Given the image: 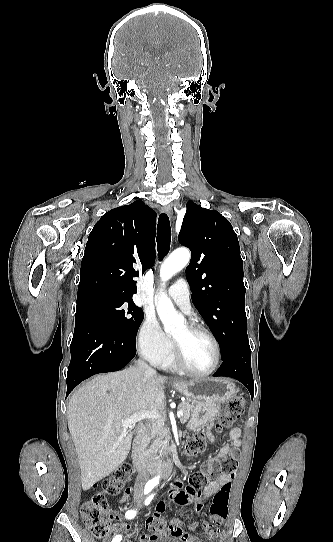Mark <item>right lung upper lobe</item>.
Listing matches in <instances>:
<instances>
[{
	"label": "right lung upper lobe",
	"instance_id": "cb5924a9",
	"mask_svg": "<svg viewBox=\"0 0 333 542\" xmlns=\"http://www.w3.org/2000/svg\"><path fill=\"white\" fill-rule=\"evenodd\" d=\"M156 212L136 200L114 208L95 224L81 261L77 304L92 295L133 302V277L155 262Z\"/></svg>",
	"mask_w": 333,
	"mask_h": 542
}]
</instances>
